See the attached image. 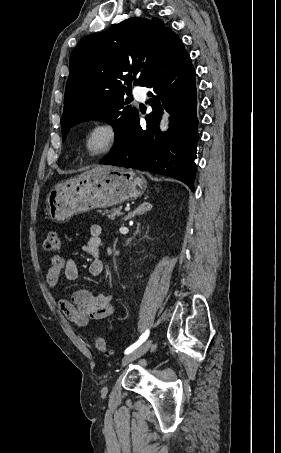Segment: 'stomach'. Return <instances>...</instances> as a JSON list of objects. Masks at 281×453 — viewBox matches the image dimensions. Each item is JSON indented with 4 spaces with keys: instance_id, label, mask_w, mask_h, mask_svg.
Here are the masks:
<instances>
[{
    "instance_id": "obj_1",
    "label": "stomach",
    "mask_w": 281,
    "mask_h": 453,
    "mask_svg": "<svg viewBox=\"0 0 281 453\" xmlns=\"http://www.w3.org/2000/svg\"><path fill=\"white\" fill-rule=\"evenodd\" d=\"M146 186L144 176L137 174V170L119 166L87 176H75L51 188L46 198L48 216L51 220L63 222L80 212L138 198Z\"/></svg>"
}]
</instances>
